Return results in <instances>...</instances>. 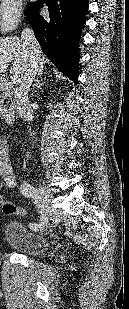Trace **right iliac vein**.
<instances>
[{
  "label": "right iliac vein",
  "mask_w": 129,
  "mask_h": 309,
  "mask_svg": "<svg viewBox=\"0 0 129 309\" xmlns=\"http://www.w3.org/2000/svg\"><path fill=\"white\" fill-rule=\"evenodd\" d=\"M38 192L41 195L42 204H43L44 209H45V222L41 226V228H39V230H43L45 228V226L47 225L49 219L51 218L52 214H53V210H52V207H51L52 194L45 187H39Z\"/></svg>",
  "instance_id": "right-iliac-vein-1"
}]
</instances>
